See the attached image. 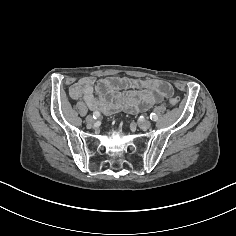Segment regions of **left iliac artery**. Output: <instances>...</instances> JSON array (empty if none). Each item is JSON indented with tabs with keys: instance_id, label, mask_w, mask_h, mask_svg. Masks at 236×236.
I'll return each instance as SVG.
<instances>
[{
	"instance_id": "obj_1",
	"label": "left iliac artery",
	"mask_w": 236,
	"mask_h": 236,
	"mask_svg": "<svg viewBox=\"0 0 236 236\" xmlns=\"http://www.w3.org/2000/svg\"><path fill=\"white\" fill-rule=\"evenodd\" d=\"M150 119H151L152 121H157V120H158V116H157L155 113H151V114H150Z\"/></svg>"
}]
</instances>
